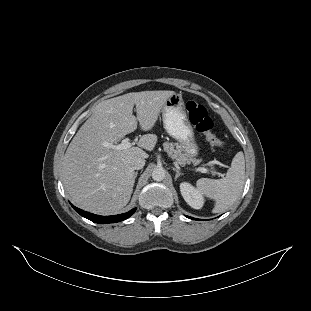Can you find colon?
I'll return each mask as SVG.
<instances>
[{
	"label": "colon",
	"instance_id": "1",
	"mask_svg": "<svg viewBox=\"0 0 311 311\" xmlns=\"http://www.w3.org/2000/svg\"><path fill=\"white\" fill-rule=\"evenodd\" d=\"M185 108L191 123L205 136L207 142L213 148L221 147L222 142L214 132L213 120L206 107L197 101L188 100Z\"/></svg>",
	"mask_w": 311,
	"mask_h": 311
}]
</instances>
